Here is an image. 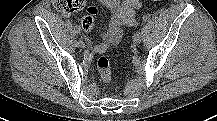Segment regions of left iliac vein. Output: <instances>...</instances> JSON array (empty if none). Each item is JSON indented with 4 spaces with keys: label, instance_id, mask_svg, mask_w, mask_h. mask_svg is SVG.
Returning a JSON list of instances; mask_svg holds the SVG:
<instances>
[{
    "label": "left iliac vein",
    "instance_id": "4c4485c4",
    "mask_svg": "<svg viewBox=\"0 0 217 121\" xmlns=\"http://www.w3.org/2000/svg\"><path fill=\"white\" fill-rule=\"evenodd\" d=\"M142 41V33L141 32H136L133 36V42L135 44H138Z\"/></svg>",
    "mask_w": 217,
    "mask_h": 121
}]
</instances>
